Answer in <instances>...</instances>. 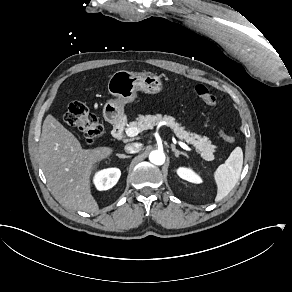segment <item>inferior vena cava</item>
<instances>
[{
    "mask_svg": "<svg viewBox=\"0 0 292 292\" xmlns=\"http://www.w3.org/2000/svg\"><path fill=\"white\" fill-rule=\"evenodd\" d=\"M142 145L140 143H129L125 146V151L127 153L133 154V153H137L141 150Z\"/></svg>",
    "mask_w": 292,
    "mask_h": 292,
    "instance_id": "602c4592",
    "label": "inferior vena cava"
}]
</instances>
